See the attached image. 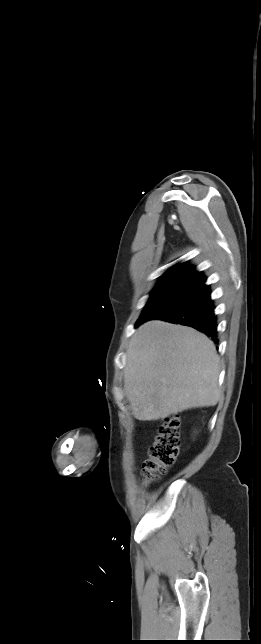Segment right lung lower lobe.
Wrapping results in <instances>:
<instances>
[{
	"instance_id": "right-lung-lower-lobe-1",
	"label": "right lung lower lobe",
	"mask_w": 261,
	"mask_h": 644,
	"mask_svg": "<svg viewBox=\"0 0 261 644\" xmlns=\"http://www.w3.org/2000/svg\"><path fill=\"white\" fill-rule=\"evenodd\" d=\"M157 319L193 327L218 343L216 316L209 285L204 284L189 301Z\"/></svg>"
}]
</instances>
